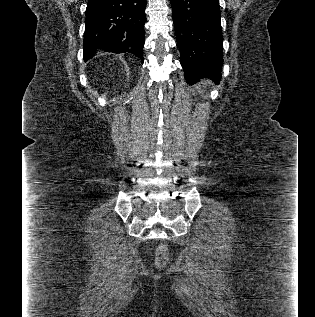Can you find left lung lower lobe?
I'll return each mask as SVG.
<instances>
[{"mask_svg": "<svg viewBox=\"0 0 315 317\" xmlns=\"http://www.w3.org/2000/svg\"><path fill=\"white\" fill-rule=\"evenodd\" d=\"M180 62L192 85L208 77L219 83L223 36L219 0H170Z\"/></svg>", "mask_w": 315, "mask_h": 317, "instance_id": "obj_1", "label": "left lung lower lobe"}]
</instances>
